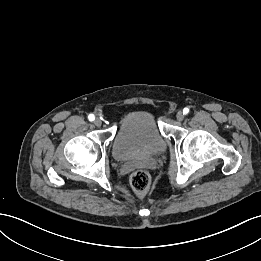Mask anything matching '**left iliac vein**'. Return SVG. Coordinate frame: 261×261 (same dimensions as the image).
<instances>
[{
  "label": "left iliac vein",
  "mask_w": 261,
  "mask_h": 261,
  "mask_svg": "<svg viewBox=\"0 0 261 261\" xmlns=\"http://www.w3.org/2000/svg\"><path fill=\"white\" fill-rule=\"evenodd\" d=\"M185 115L182 111L177 112L176 118L178 121H182L184 119Z\"/></svg>",
  "instance_id": "1"
}]
</instances>
